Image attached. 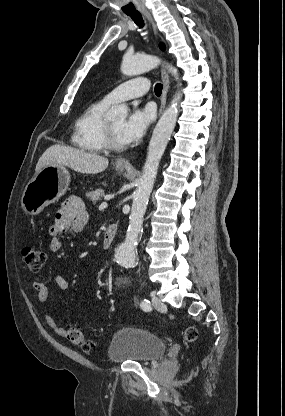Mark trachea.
<instances>
[{
  "mask_svg": "<svg viewBox=\"0 0 285 416\" xmlns=\"http://www.w3.org/2000/svg\"><path fill=\"white\" fill-rule=\"evenodd\" d=\"M129 17L132 18V20L136 23V25L139 26V28L144 27V21L140 13H131L127 14ZM163 85L161 83H156L154 91L157 96H160L162 94Z\"/></svg>",
  "mask_w": 285,
  "mask_h": 416,
  "instance_id": "trachea-1",
  "label": "trachea"
}]
</instances>
